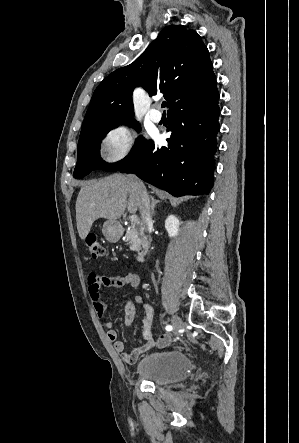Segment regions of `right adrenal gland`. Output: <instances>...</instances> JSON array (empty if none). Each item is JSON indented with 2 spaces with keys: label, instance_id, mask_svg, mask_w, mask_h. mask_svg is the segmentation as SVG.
Returning <instances> with one entry per match:
<instances>
[{
  "label": "right adrenal gland",
  "instance_id": "obj_1",
  "mask_svg": "<svg viewBox=\"0 0 299 443\" xmlns=\"http://www.w3.org/2000/svg\"><path fill=\"white\" fill-rule=\"evenodd\" d=\"M159 200H156L153 196H151V208H152V215H155V207L159 203Z\"/></svg>",
  "mask_w": 299,
  "mask_h": 443
}]
</instances>
